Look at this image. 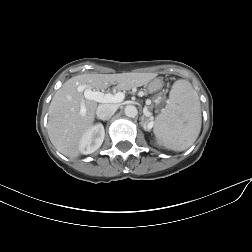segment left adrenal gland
<instances>
[{"mask_svg":"<svg viewBox=\"0 0 252 252\" xmlns=\"http://www.w3.org/2000/svg\"><path fill=\"white\" fill-rule=\"evenodd\" d=\"M149 120L150 119H147L145 118L144 116L142 117V125H143V128L146 130L147 129V125L149 124Z\"/></svg>","mask_w":252,"mask_h":252,"instance_id":"a2214340","label":"left adrenal gland"}]
</instances>
